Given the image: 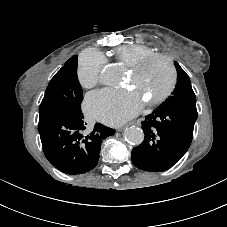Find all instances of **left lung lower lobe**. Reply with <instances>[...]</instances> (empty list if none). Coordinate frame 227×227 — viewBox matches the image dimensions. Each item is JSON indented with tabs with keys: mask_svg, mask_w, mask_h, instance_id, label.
Instances as JSON below:
<instances>
[{
	"mask_svg": "<svg viewBox=\"0 0 227 227\" xmlns=\"http://www.w3.org/2000/svg\"><path fill=\"white\" fill-rule=\"evenodd\" d=\"M196 119V108L181 105L147 115L142 121L144 141L132 150L133 164L145 171L170 169L188 150Z\"/></svg>",
	"mask_w": 227,
	"mask_h": 227,
	"instance_id": "1",
	"label": "left lung lower lobe"
}]
</instances>
